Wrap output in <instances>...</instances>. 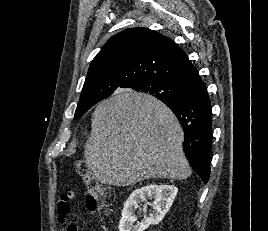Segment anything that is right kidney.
Returning a JSON list of instances; mask_svg holds the SVG:
<instances>
[{"mask_svg": "<svg viewBox=\"0 0 268 231\" xmlns=\"http://www.w3.org/2000/svg\"><path fill=\"white\" fill-rule=\"evenodd\" d=\"M177 193L178 188L168 184H149L134 190L124 204L119 231H144L150 225L159 224L172 206ZM147 198L154 199L151 203L153 211L135 224L137 220L135 211Z\"/></svg>", "mask_w": 268, "mask_h": 231, "instance_id": "ca27d5eb", "label": "right kidney"}]
</instances>
